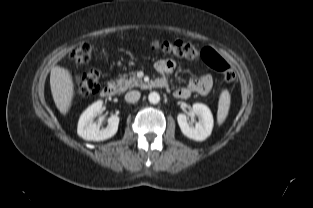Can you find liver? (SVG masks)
<instances>
[{"label":"liver","mask_w":313,"mask_h":208,"mask_svg":"<svg viewBox=\"0 0 313 208\" xmlns=\"http://www.w3.org/2000/svg\"><path fill=\"white\" fill-rule=\"evenodd\" d=\"M50 86L57 109L61 114H67L75 94L71 73L66 68L53 67L50 73Z\"/></svg>","instance_id":"6515ba94"}]
</instances>
